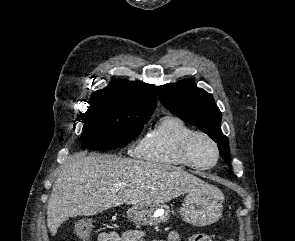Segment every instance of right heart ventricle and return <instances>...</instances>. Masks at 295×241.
<instances>
[{
    "label": "right heart ventricle",
    "mask_w": 295,
    "mask_h": 241,
    "mask_svg": "<svg viewBox=\"0 0 295 241\" xmlns=\"http://www.w3.org/2000/svg\"><path fill=\"white\" fill-rule=\"evenodd\" d=\"M193 129L181 118L167 115L158 120L137 146L136 155L149 163L182 167L185 165L180 147Z\"/></svg>",
    "instance_id": "obj_1"
}]
</instances>
